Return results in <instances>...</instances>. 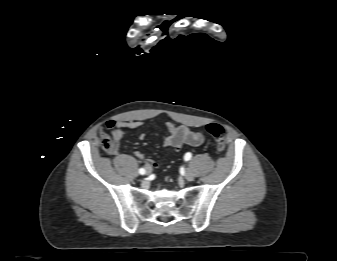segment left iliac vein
<instances>
[{
	"instance_id": "1",
	"label": "left iliac vein",
	"mask_w": 337,
	"mask_h": 261,
	"mask_svg": "<svg viewBox=\"0 0 337 261\" xmlns=\"http://www.w3.org/2000/svg\"><path fill=\"white\" fill-rule=\"evenodd\" d=\"M184 177L187 181H192L194 179L193 171L190 168L186 169Z\"/></svg>"
}]
</instances>
